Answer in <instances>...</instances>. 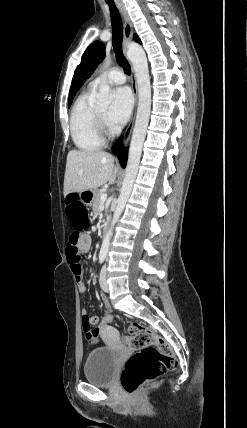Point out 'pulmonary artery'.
<instances>
[{
  "label": "pulmonary artery",
  "mask_w": 247,
  "mask_h": 428,
  "mask_svg": "<svg viewBox=\"0 0 247 428\" xmlns=\"http://www.w3.org/2000/svg\"><path fill=\"white\" fill-rule=\"evenodd\" d=\"M125 81H126V77L124 73L118 68H113L106 75H101L93 79L89 83V87L95 89L103 82H107L112 85H120L125 83Z\"/></svg>",
  "instance_id": "pulmonary-artery-1"
}]
</instances>
